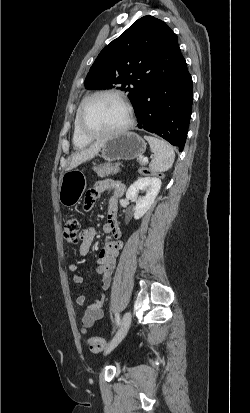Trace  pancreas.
<instances>
[{
    "instance_id": "pancreas-1",
    "label": "pancreas",
    "mask_w": 250,
    "mask_h": 413,
    "mask_svg": "<svg viewBox=\"0 0 250 413\" xmlns=\"http://www.w3.org/2000/svg\"><path fill=\"white\" fill-rule=\"evenodd\" d=\"M140 164H144L142 159H139ZM119 163L111 164V163H106V164H100L98 166H95L93 170L96 172V174L99 177H107L109 175H114L119 172ZM142 173V170L139 171Z\"/></svg>"
}]
</instances>
